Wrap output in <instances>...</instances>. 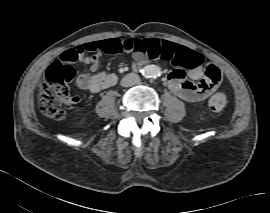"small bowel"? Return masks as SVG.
I'll return each instance as SVG.
<instances>
[{
	"instance_id": "1",
	"label": "small bowel",
	"mask_w": 270,
	"mask_h": 213,
	"mask_svg": "<svg viewBox=\"0 0 270 213\" xmlns=\"http://www.w3.org/2000/svg\"><path fill=\"white\" fill-rule=\"evenodd\" d=\"M109 41L111 40L87 41L77 45L82 50V55L93 53L89 57H81L80 59V62L86 66V70L77 78L76 84L78 88L98 93L117 82L115 74L102 72L92 75L98 68L101 53L108 52ZM145 41L148 44H154V48L147 55L148 58L169 59L173 62L174 67L167 73V84L171 91L181 99L191 103L200 102L216 89L221 74L218 80L206 75L204 67L195 64V57L198 56L196 53L167 40L153 39ZM146 62L145 56L140 54V56L134 58L132 67L137 71ZM186 77L192 81L187 80Z\"/></svg>"
}]
</instances>
